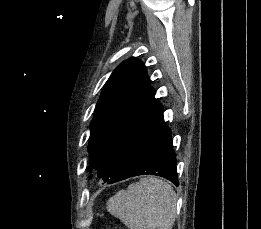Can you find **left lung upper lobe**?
Segmentation results:
<instances>
[{
    "label": "left lung upper lobe",
    "mask_w": 261,
    "mask_h": 229,
    "mask_svg": "<svg viewBox=\"0 0 261 229\" xmlns=\"http://www.w3.org/2000/svg\"><path fill=\"white\" fill-rule=\"evenodd\" d=\"M150 85L145 66L138 59H128L114 70L90 124V169H98L108 149L154 98Z\"/></svg>",
    "instance_id": "1"
}]
</instances>
